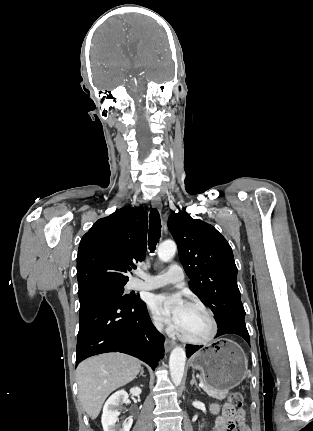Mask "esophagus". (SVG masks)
<instances>
[{"mask_svg":"<svg viewBox=\"0 0 313 431\" xmlns=\"http://www.w3.org/2000/svg\"><path fill=\"white\" fill-rule=\"evenodd\" d=\"M151 205L153 208L160 209L161 208V200L159 197H155L151 201ZM175 346V342L169 339H166L165 341V349L167 351L171 350Z\"/></svg>","mask_w":313,"mask_h":431,"instance_id":"esophagus-1","label":"esophagus"}]
</instances>
